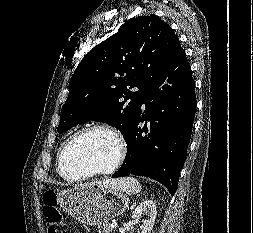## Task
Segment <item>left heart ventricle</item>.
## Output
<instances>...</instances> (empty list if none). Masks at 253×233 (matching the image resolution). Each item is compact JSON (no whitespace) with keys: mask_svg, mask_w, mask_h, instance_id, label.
Returning <instances> with one entry per match:
<instances>
[{"mask_svg":"<svg viewBox=\"0 0 253 233\" xmlns=\"http://www.w3.org/2000/svg\"><path fill=\"white\" fill-rule=\"evenodd\" d=\"M117 155V143L104 131H94L75 140L66 151L63 171L76 177L110 166Z\"/></svg>","mask_w":253,"mask_h":233,"instance_id":"left-heart-ventricle-1","label":"left heart ventricle"}]
</instances>
